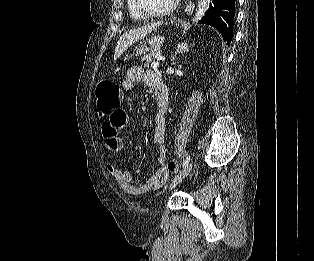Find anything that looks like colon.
Listing matches in <instances>:
<instances>
[{
  "label": "colon",
  "instance_id": "obj_1",
  "mask_svg": "<svg viewBox=\"0 0 314 261\" xmlns=\"http://www.w3.org/2000/svg\"><path fill=\"white\" fill-rule=\"evenodd\" d=\"M95 94L97 108L102 116H108L112 109H118L123 99L119 86L110 80L101 81L96 87ZM166 166L169 172H176L178 169V163L174 160H170Z\"/></svg>",
  "mask_w": 314,
  "mask_h": 261
}]
</instances>
